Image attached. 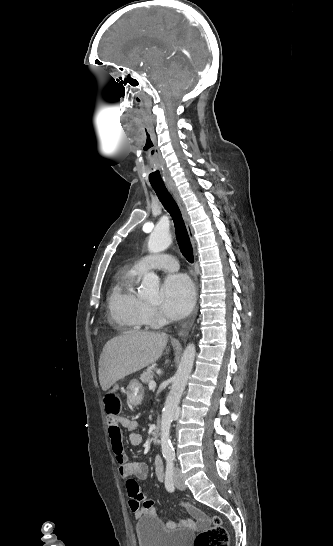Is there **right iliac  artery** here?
Here are the masks:
<instances>
[{"label": "right iliac artery", "mask_w": 333, "mask_h": 546, "mask_svg": "<svg viewBox=\"0 0 333 546\" xmlns=\"http://www.w3.org/2000/svg\"><path fill=\"white\" fill-rule=\"evenodd\" d=\"M174 458L169 457L167 458V466H166V473H165V487L167 491L173 492L174 491V483H173V474H174Z\"/></svg>", "instance_id": "obj_1"}]
</instances>
